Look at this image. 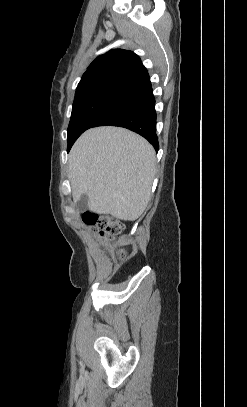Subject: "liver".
<instances>
[{"label": "liver", "instance_id": "obj_1", "mask_svg": "<svg viewBox=\"0 0 247 407\" xmlns=\"http://www.w3.org/2000/svg\"><path fill=\"white\" fill-rule=\"evenodd\" d=\"M68 175L74 202L88 196V209L134 221L146 209L155 177V151L138 134L104 126L84 132L73 145Z\"/></svg>", "mask_w": 247, "mask_h": 407}]
</instances>
